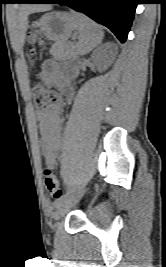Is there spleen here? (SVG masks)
Returning a JSON list of instances; mask_svg holds the SVG:
<instances>
[{"instance_id": "1", "label": "spleen", "mask_w": 166, "mask_h": 267, "mask_svg": "<svg viewBox=\"0 0 166 267\" xmlns=\"http://www.w3.org/2000/svg\"><path fill=\"white\" fill-rule=\"evenodd\" d=\"M78 19L79 41L76 45L77 53L85 55L97 47L103 39L102 28L83 14L73 12Z\"/></svg>"}]
</instances>
